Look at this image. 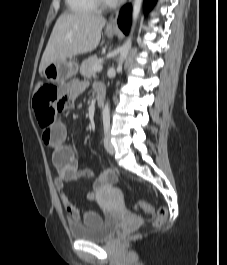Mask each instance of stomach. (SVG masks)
<instances>
[{
  "mask_svg": "<svg viewBox=\"0 0 227 265\" xmlns=\"http://www.w3.org/2000/svg\"><path fill=\"white\" fill-rule=\"evenodd\" d=\"M108 36H112L114 31L107 29ZM78 71L76 62L65 60L59 63H51L43 70V77L52 83L64 82L75 76Z\"/></svg>",
  "mask_w": 227,
  "mask_h": 265,
  "instance_id": "0dacf381",
  "label": "stomach"
}]
</instances>
